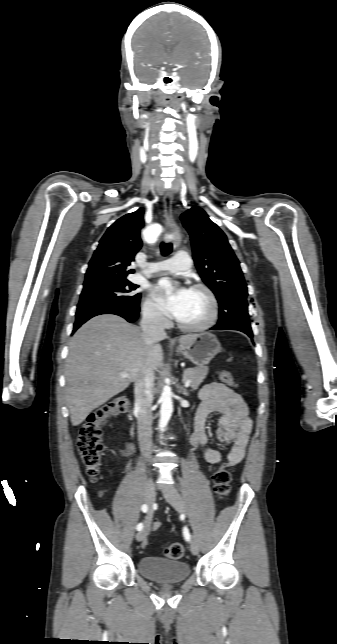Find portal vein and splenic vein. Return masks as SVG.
<instances>
[{"mask_svg":"<svg viewBox=\"0 0 337 644\" xmlns=\"http://www.w3.org/2000/svg\"><path fill=\"white\" fill-rule=\"evenodd\" d=\"M120 376L123 377V378H127L128 374L127 373H121ZM190 383H191V381L186 379L184 384H185L186 387H188L190 385Z\"/></svg>","mask_w":337,"mask_h":644,"instance_id":"1","label":"portal vein and splenic vein"}]
</instances>
